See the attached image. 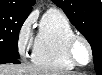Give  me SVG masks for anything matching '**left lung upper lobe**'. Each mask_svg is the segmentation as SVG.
I'll use <instances>...</instances> for the list:
<instances>
[{"label": "left lung upper lobe", "mask_w": 102, "mask_h": 75, "mask_svg": "<svg viewBox=\"0 0 102 75\" xmlns=\"http://www.w3.org/2000/svg\"><path fill=\"white\" fill-rule=\"evenodd\" d=\"M91 45L95 71L102 74V4L100 0H53Z\"/></svg>", "instance_id": "obj_1"}]
</instances>
